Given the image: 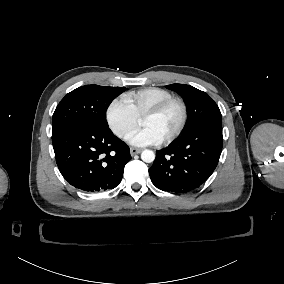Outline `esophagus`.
<instances>
[{
  "mask_svg": "<svg viewBox=\"0 0 284 284\" xmlns=\"http://www.w3.org/2000/svg\"><path fill=\"white\" fill-rule=\"evenodd\" d=\"M143 149L141 148H130V154L131 156H134L136 154H139Z\"/></svg>",
  "mask_w": 284,
  "mask_h": 284,
  "instance_id": "esophagus-1",
  "label": "esophagus"
}]
</instances>
